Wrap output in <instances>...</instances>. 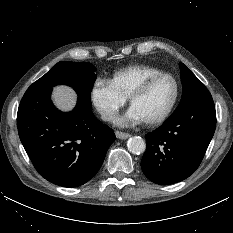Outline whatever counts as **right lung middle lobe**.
<instances>
[{
	"mask_svg": "<svg viewBox=\"0 0 233 233\" xmlns=\"http://www.w3.org/2000/svg\"><path fill=\"white\" fill-rule=\"evenodd\" d=\"M95 70V66L88 62H58L30 87L52 88L58 84L69 85L77 92L78 99L92 108L90 96L97 77Z\"/></svg>",
	"mask_w": 233,
	"mask_h": 233,
	"instance_id": "right-lung-middle-lobe-1",
	"label": "right lung middle lobe"
}]
</instances>
